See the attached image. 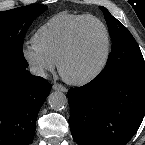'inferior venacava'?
<instances>
[{"instance_id": "inferior-vena-cava-1", "label": "inferior vena cava", "mask_w": 145, "mask_h": 145, "mask_svg": "<svg viewBox=\"0 0 145 145\" xmlns=\"http://www.w3.org/2000/svg\"><path fill=\"white\" fill-rule=\"evenodd\" d=\"M30 72L32 75L45 77V72L42 67L39 66H32L30 67Z\"/></svg>"}]
</instances>
